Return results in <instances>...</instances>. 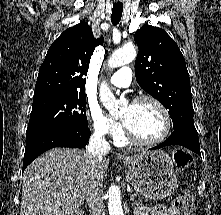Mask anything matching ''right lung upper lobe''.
I'll return each instance as SVG.
<instances>
[{"mask_svg": "<svg viewBox=\"0 0 221 215\" xmlns=\"http://www.w3.org/2000/svg\"><path fill=\"white\" fill-rule=\"evenodd\" d=\"M103 37L95 39L91 27L85 23L62 32L50 46L35 86L34 101L61 94H85V82L90 58Z\"/></svg>", "mask_w": 221, "mask_h": 215, "instance_id": "cb5924a9", "label": "right lung upper lobe"}]
</instances>
